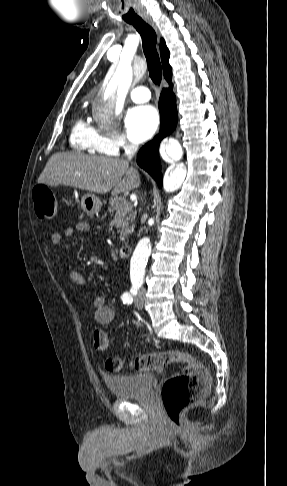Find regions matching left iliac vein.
Listing matches in <instances>:
<instances>
[{"mask_svg":"<svg viewBox=\"0 0 287 486\" xmlns=\"http://www.w3.org/2000/svg\"><path fill=\"white\" fill-rule=\"evenodd\" d=\"M144 292H140L134 299V303H135V306L138 308V309H142L143 308V305H144Z\"/></svg>","mask_w":287,"mask_h":486,"instance_id":"1","label":"left iliac vein"}]
</instances>
